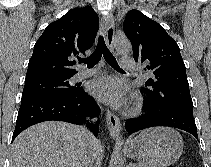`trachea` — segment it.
<instances>
[{
  "instance_id": "1",
  "label": "trachea",
  "mask_w": 211,
  "mask_h": 167,
  "mask_svg": "<svg viewBox=\"0 0 211 167\" xmlns=\"http://www.w3.org/2000/svg\"><path fill=\"white\" fill-rule=\"evenodd\" d=\"M102 55H104V59L110 66H112L116 70L122 71V69L119 67L115 57L112 55V53L107 48L104 38L102 36L99 37L97 48L93 52V54L86 59H81L80 63H85V64H87L88 68H92L95 64H97L99 62Z\"/></svg>"
}]
</instances>
